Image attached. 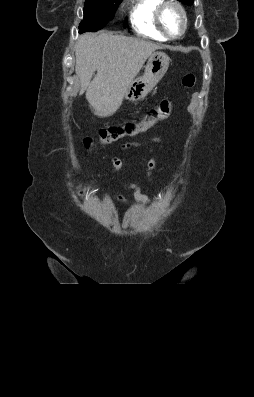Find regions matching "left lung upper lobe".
I'll return each instance as SVG.
<instances>
[{
    "mask_svg": "<svg viewBox=\"0 0 254 397\" xmlns=\"http://www.w3.org/2000/svg\"><path fill=\"white\" fill-rule=\"evenodd\" d=\"M178 1H181L187 5H191L194 2V0H178Z\"/></svg>",
    "mask_w": 254,
    "mask_h": 397,
    "instance_id": "left-lung-upper-lobe-1",
    "label": "left lung upper lobe"
}]
</instances>
